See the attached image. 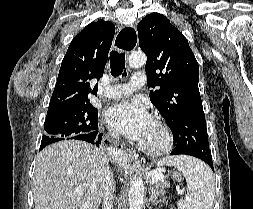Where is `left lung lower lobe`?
I'll return each mask as SVG.
<instances>
[{"mask_svg":"<svg viewBox=\"0 0 253 209\" xmlns=\"http://www.w3.org/2000/svg\"><path fill=\"white\" fill-rule=\"evenodd\" d=\"M171 155H178V154H176L175 152H171ZM191 156L197 157V158L205 161L211 167V169L214 171L211 156H204V155H191Z\"/></svg>","mask_w":253,"mask_h":209,"instance_id":"1","label":"left lung lower lobe"}]
</instances>
